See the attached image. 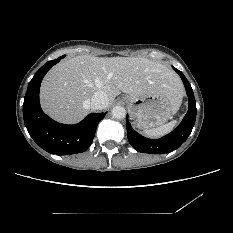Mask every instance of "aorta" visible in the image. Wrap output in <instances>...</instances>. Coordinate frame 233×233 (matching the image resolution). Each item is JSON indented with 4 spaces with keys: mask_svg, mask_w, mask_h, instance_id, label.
<instances>
[{
    "mask_svg": "<svg viewBox=\"0 0 233 233\" xmlns=\"http://www.w3.org/2000/svg\"><path fill=\"white\" fill-rule=\"evenodd\" d=\"M111 114L113 118L123 119L126 116V110L122 106H115L112 108Z\"/></svg>",
    "mask_w": 233,
    "mask_h": 233,
    "instance_id": "aorta-1",
    "label": "aorta"
}]
</instances>
